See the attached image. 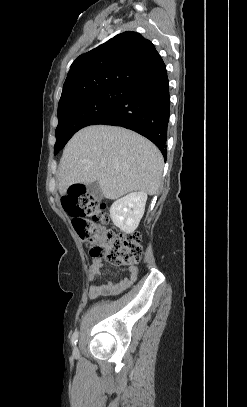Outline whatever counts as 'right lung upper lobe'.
Returning <instances> with one entry per match:
<instances>
[{"instance_id": "obj_1", "label": "right lung upper lobe", "mask_w": 247, "mask_h": 407, "mask_svg": "<svg viewBox=\"0 0 247 407\" xmlns=\"http://www.w3.org/2000/svg\"><path fill=\"white\" fill-rule=\"evenodd\" d=\"M164 68L151 41L139 33L126 31L76 58L65 80L58 107L106 88H134Z\"/></svg>"}]
</instances>
